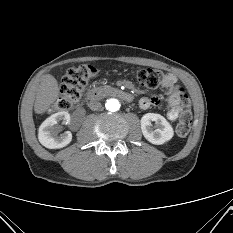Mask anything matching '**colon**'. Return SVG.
I'll list each match as a JSON object with an SVG mask.
<instances>
[{
  "mask_svg": "<svg viewBox=\"0 0 233 233\" xmlns=\"http://www.w3.org/2000/svg\"><path fill=\"white\" fill-rule=\"evenodd\" d=\"M96 69L87 64L70 68L64 78L60 96L56 102V109L68 110L79 103L85 87L96 76ZM136 77L139 83L147 88L158 87L163 80L162 73L155 69L141 68L137 70ZM183 110L179 114V121L176 132L179 136H186L190 131L192 113L190 110V100L187 95L180 90Z\"/></svg>",
  "mask_w": 233,
  "mask_h": 233,
  "instance_id": "5ec220e1",
  "label": "colon"
}]
</instances>
